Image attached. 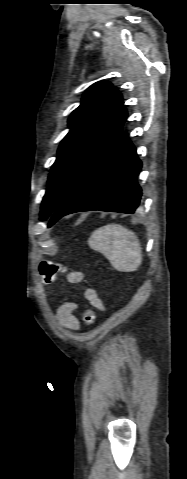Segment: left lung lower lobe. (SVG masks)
<instances>
[{"instance_id": "left-lung-lower-lobe-1", "label": "left lung lower lobe", "mask_w": 187, "mask_h": 479, "mask_svg": "<svg viewBox=\"0 0 187 479\" xmlns=\"http://www.w3.org/2000/svg\"><path fill=\"white\" fill-rule=\"evenodd\" d=\"M142 163L126 132L94 161L51 215L49 227L61 217L80 211L133 214L140 205L137 176Z\"/></svg>"}]
</instances>
